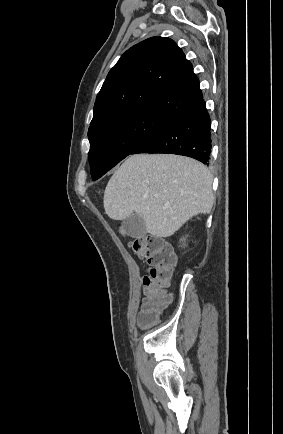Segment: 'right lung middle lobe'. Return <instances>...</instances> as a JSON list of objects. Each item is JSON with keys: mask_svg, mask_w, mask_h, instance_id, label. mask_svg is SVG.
<instances>
[{"mask_svg": "<svg viewBox=\"0 0 283 434\" xmlns=\"http://www.w3.org/2000/svg\"><path fill=\"white\" fill-rule=\"evenodd\" d=\"M169 120L149 112H135L107 119L89 128L88 156L92 179L103 176Z\"/></svg>", "mask_w": 283, "mask_h": 434, "instance_id": "dd1d6c3e", "label": "right lung middle lobe"}]
</instances>
